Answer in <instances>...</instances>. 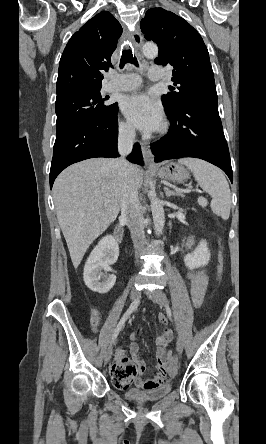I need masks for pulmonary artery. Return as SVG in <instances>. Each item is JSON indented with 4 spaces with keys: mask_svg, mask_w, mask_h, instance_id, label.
I'll return each instance as SVG.
<instances>
[{
    "mask_svg": "<svg viewBox=\"0 0 266 444\" xmlns=\"http://www.w3.org/2000/svg\"><path fill=\"white\" fill-rule=\"evenodd\" d=\"M148 76L151 80H160L164 77V69L161 66H150ZM141 82L137 74L112 73V79L107 84L108 91H130L139 87Z\"/></svg>",
    "mask_w": 266,
    "mask_h": 444,
    "instance_id": "pulmonary-artery-1",
    "label": "pulmonary artery"
}]
</instances>
